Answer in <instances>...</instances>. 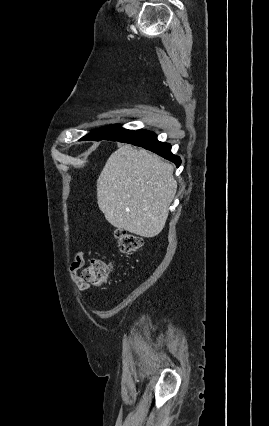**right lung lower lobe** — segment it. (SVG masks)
Wrapping results in <instances>:
<instances>
[{
  "instance_id": "98d812e1",
  "label": "right lung lower lobe",
  "mask_w": 269,
  "mask_h": 426,
  "mask_svg": "<svg viewBox=\"0 0 269 426\" xmlns=\"http://www.w3.org/2000/svg\"><path fill=\"white\" fill-rule=\"evenodd\" d=\"M117 141L141 146L147 150L155 152L163 158L174 162L177 167L181 164L180 158L171 153V145L169 143L158 141L157 136L151 131L137 130L128 137Z\"/></svg>"
}]
</instances>
